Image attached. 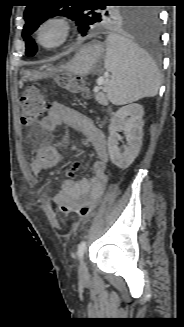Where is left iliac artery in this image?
<instances>
[{"label": "left iliac artery", "mask_w": 184, "mask_h": 327, "mask_svg": "<svg viewBox=\"0 0 184 327\" xmlns=\"http://www.w3.org/2000/svg\"><path fill=\"white\" fill-rule=\"evenodd\" d=\"M86 250V241H82L79 245H78V257L81 260L83 258L84 252Z\"/></svg>", "instance_id": "1"}]
</instances>
